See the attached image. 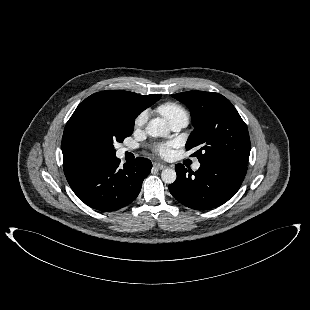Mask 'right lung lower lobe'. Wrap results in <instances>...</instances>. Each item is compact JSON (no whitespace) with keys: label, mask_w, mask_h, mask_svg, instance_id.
<instances>
[{"label":"right lung lower lobe","mask_w":310,"mask_h":310,"mask_svg":"<svg viewBox=\"0 0 310 310\" xmlns=\"http://www.w3.org/2000/svg\"><path fill=\"white\" fill-rule=\"evenodd\" d=\"M115 155L100 154L63 161L66 179L77 197L91 208L114 211L131 203L151 171L149 159L138 157L119 167Z\"/></svg>","instance_id":"right-lung-lower-lobe-1"}]
</instances>
